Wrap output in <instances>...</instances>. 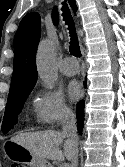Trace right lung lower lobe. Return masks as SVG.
Returning <instances> with one entry per match:
<instances>
[{
	"label": "right lung lower lobe",
	"mask_w": 125,
	"mask_h": 167,
	"mask_svg": "<svg viewBox=\"0 0 125 167\" xmlns=\"http://www.w3.org/2000/svg\"><path fill=\"white\" fill-rule=\"evenodd\" d=\"M86 84V82H85ZM84 100L78 102L76 109V117H77V128L80 134H82L83 126H84Z\"/></svg>",
	"instance_id": "obj_1"
}]
</instances>
